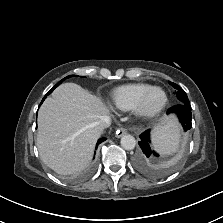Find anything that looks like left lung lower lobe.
<instances>
[{"label": "left lung lower lobe", "instance_id": "1", "mask_svg": "<svg viewBox=\"0 0 223 223\" xmlns=\"http://www.w3.org/2000/svg\"><path fill=\"white\" fill-rule=\"evenodd\" d=\"M167 113H176L179 121L181 122L184 131H187L191 128V106L190 104H178L173 107H171ZM140 141L139 145L142 150L140 155L136 159V165L139 169L146 173H156V166L149 163V158H151L152 155L157 156L154 151H151L150 149V132L145 131L140 135Z\"/></svg>", "mask_w": 223, "mask_h": 223}]
</instances>
